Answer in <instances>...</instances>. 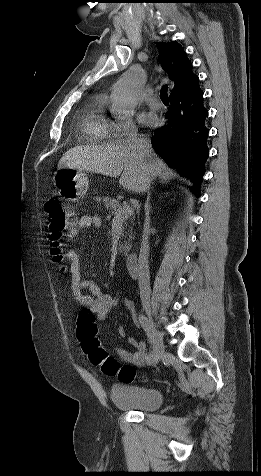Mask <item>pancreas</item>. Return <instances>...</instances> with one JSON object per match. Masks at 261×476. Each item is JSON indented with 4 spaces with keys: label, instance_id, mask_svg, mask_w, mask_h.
Segmentation results:
<instances>
[{
    "label": "pancreas",
    "instance_id": "pancreas-1",
    "mask_svg": "<svg viewBox=\"0 0 261 476\" xmlns=\"http://www.w3.org/2000/svg\"><path fill=\"white\" fill-rule=\"evenodd\" d=\"M102 204L104 205L106 211H107V212L109 213V215H111V216H113V215L115 216V214H116L119 210H121V208H122V206H121V204L119 203L118 200L112 199V198H110V197H103V199H102ZM130 219H131V221H132V220L134 219V217H132V218H130ZM126 220H127V219H125V220L123 221L124 226H127V225H128L127 222H126ZM126 234H127V232H126ZM125 238H126V237H125ZM125 238H124V241L119 244V251H120V253H123L124 255L127 256L128 253H129V251H130V249H131L130 240L132 239V232H130V234H129V239H128V241H127Z\"/></svg>",
    "mask_w": 261,
    "mask_h": 476
}]
</instances>
